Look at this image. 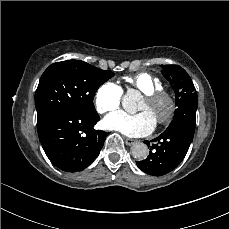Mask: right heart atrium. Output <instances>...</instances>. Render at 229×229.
Masks as SVG:
<instances>
[{"mask_svg": "<svg viewBox=\"0 0 229 229\" xmlns=\"http://www.w3.org/2000/svg\"><path fill=\"white\" fill-rule=\"evenodd\" d=\"M123 96L122 88L111 81L102 83L94 93L93 104L101 113H107L119 108Z\"/></svg>", "mask_w": 229, "mask_h": 229, "instance_id": "1", "label": "right heart atrium"}]
</instances>
